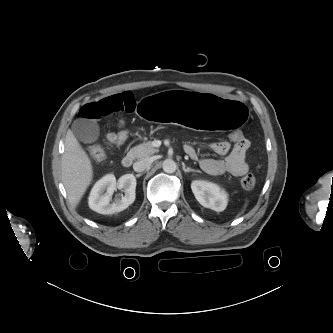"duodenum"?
<instances>
[{"label": "duodenum", "mask_w": 333, "mask_h": 333, "mask_svg": "<svg viewBox=\"0 0 333 333\" xmlns=\"http://www.w3.org/2000/svg\"><path fill=\"white\" fill-rule=\"evenodd\" d=\"M133 163V156L132 155H126L122 159V166L125 168H128L132 165Z\"/></svg>", "instance_id": "obj_1"}]
</instances>
